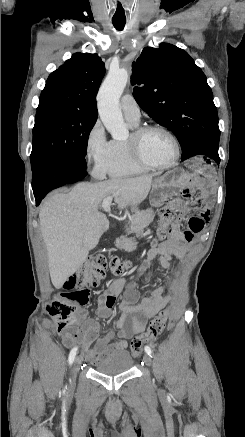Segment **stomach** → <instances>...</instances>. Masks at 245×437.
I'll return each instance as SVG.
<instances>
[{
	"mask_svg": "<svg viewBox=\"0 0 245 437\" xmlns=\"http://www.w3.org/2000/svg\"><path fill=\"white\" fill-rule=\"evenodd\" d=\"M189 179V175L179 170H172L157 176L153 180L149 196L151 206H162L176 191L186 186Z\"/></svg>",
	"mask_w": 245,
	"mask_h": 437,
	"instance_id": "obj_1",
	"label": "stomach"
}]
</instances>
